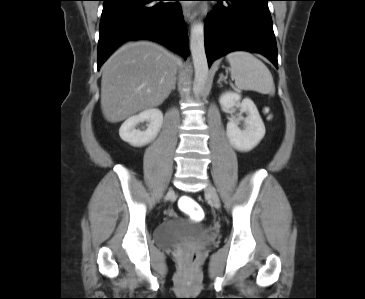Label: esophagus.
I'll list each match as a JSON object with an SVG mask.
<instances>
[{
  "label": "esophagus",
  "mask_w": 365,
  "mask_h": 299,
  "mask_svg": "<svg viewBox=\"0 0 365 299\" xmlns=\"http://www.w3.org/2000/svg\"><path fill=\"white\" fill-rule=\"evenodd\" d=\"M183 15L185 20L190 23L193 19V11L191 8L184 7L183 8Z\"/></svg>",
  "instance_id": "34e87169"
}]
</instances>
